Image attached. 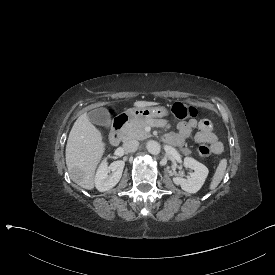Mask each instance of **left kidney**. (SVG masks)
I'll return each instance as SVG.
<instances>
[{
    "instance_id": "1",
    "label": "left kidney",
    "mask_w": 275,
    "mask_h": 275,
    "mask_svg": "<svg viewBox=\"0 0 275 275\" xmlns=\"http://www.w3.org/2000/svg\"><path fill=\"white\" fill-rule=\"evenodd\" d=\"M184 166L186 168L193 169L194 172L191 173L190 177L187 179L175 177L173 178V182L176 185H180L181 188L186 192L196 193L198 190H200L208 176V168L191 157L184 158Z\"/></svg>"
}]
</instances>
